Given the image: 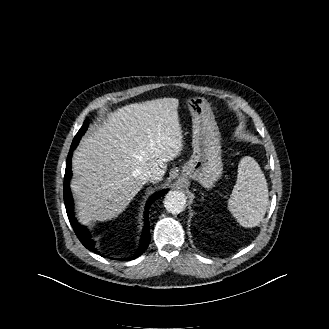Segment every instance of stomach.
<instances>
[{
    "label": "stomach",
    "instance_id": "obj_1",
    "mask_svg": "<svg viewBox=\"0 0 329 329\" xmlns=\"http://www.w3.org/2000/svg\"><path fill=\"white\" fill-rule=\"evenodd\" d=\"M192 116L193 155L182 168V178L192 179L210 189L221 178V136L208 101L203 97L187 100Z\"/></svg>",
    "mask_w": 329,
    "mask_h": 329
}]
</instances>
